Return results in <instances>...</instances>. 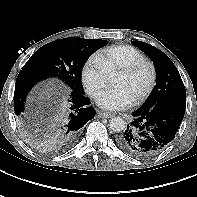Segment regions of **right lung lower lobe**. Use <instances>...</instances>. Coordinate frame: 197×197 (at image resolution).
I'll return each mask as SVG.
<instances>
[{
  "mask_svg": "<svg viewBox=\"0 0 197 197\" xmlns=\"http://www.w3.org/2000/svg\"><path fill=\"white\" fill-rule=\"evenodd\" d=\"M48 78L38 73L21 70L15 84L14 109L22 120L25 118L24 104L31 88L39 81ZM90 100L84 94L71 92L68 102L61 106L56 114L48 121L36 120L49 134V140L58 145H72L81 128L92 118L96 111L88 106Z\"/></svg>",
  "mask_w": 197,
  "mask_h": 197,
  "instance_id": "1",
  "label": "right lung lower lobe"
}]
</instances>
